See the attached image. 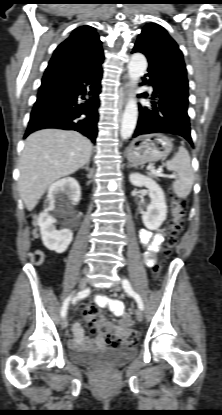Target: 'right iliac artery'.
Wrapping results in <instances>:
<instances>
[{
  "label": "right iliac artery",
  "instance_id": "obj_1",
  "mask_svg": "<svg viewBox=\"0 0 222 415\" xmlns=\"http://www.w3.org/2000/svg\"><path fill=\"white\" fill-rule=\"evenodd\" d=\"M89 293H90V289L87 288V289L79 292L77 296H78V298H84V297L88 296ZM71 300H72V296H69L64 300L63 306L61 308L62 318H64L66 316L67 309H68V306H69V303H70Z\"/></svg>",
  "mask_w": 222,
  "mask_h": 415
}]
</instances>
